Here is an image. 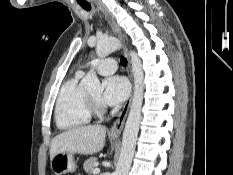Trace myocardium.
<instances>
[{
    "instance_id": "obj_1",
    "label": "myocardium",
    "mask_w": 233,
    "mask_h": 175,
    "mask_svg": "<svg viewBox=\"0 0 233 175\" xmlns=\"http://www.w3.org/2000/svg\"><path fill=\"white\" fill-rule=\"evenodd\" d=\"M86 106L91 116H101L104 113L103 105L100 101L92 99L86 94Z\"/></svg>"
}]
</instances>
